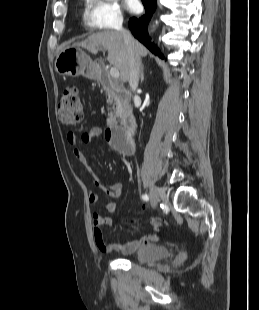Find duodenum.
<instances>
[{
  "mask_svg": "<svg viewBox=\"0 0 259 310\" xmlns=\"http://www.w3.org/2000/svg\"><path fill=\"white\" fill-rule=\"evenodd\" d=\"M95 75L106 92L122 104L120 124L108 127L105 131L106 137L120 153L125 155L132 154V136L135 131V120L130 108L125 104L131 98V94L116 85L99 64L96 65Z\"/></svg>",
  "mask_w": 259,
  "mask_h": 310,
  "instance_id": "1",
  "label": "duodenum"
}]
</instances>
